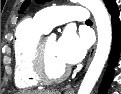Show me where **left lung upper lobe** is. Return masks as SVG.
<instances>
[{
    "mask_svg": "<svg viewBox=\"0 0 121 94\" xmlns=\"http://www.w3.org/2000/svg\"><path fill=\"white\" fill-rule=\"evenodd\" d=\"M37 3H44V2H48L50 0H35ZM106 7L109 8L110 6H112L114 3H116V0H103ZM30 3V0H25L24 3L22 4L21 6V9H20V13L23 12L27 6L29 5Z\"/></svg>",
    "mask_w": 121,
    "mask_h": 94,
    "instance_id": "obj_1",
    "label": "left lung upper lobe"
}]
</instances>
